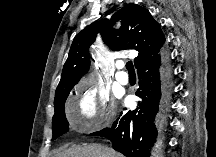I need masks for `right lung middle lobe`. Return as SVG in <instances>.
Wrapping results in <instances>:
<instances>
[{
	"label": "right lung middle lobe",
	"instance_id": "dd1d6c3e",
	"mask_svg": "<svg viewBox=\"0 0 216 157\" xmlns=\"http://www.w3.org/2000/svg\"><path fill=\"white\" fill-rule=\"evenodd\" d=\"M71 89L72 88L64 89L54 100L55 114L53 116L52 123V140L56 139L69 130V123L65 117L64 104Z\"/></svg>",
	"mask_w": 216,
	"mask_h": 157
}]
</instances>
